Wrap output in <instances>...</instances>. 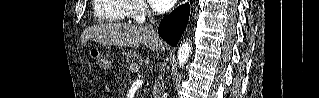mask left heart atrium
<instances>
[{"label": "left heart atrium", "instance_id": "39dd6f15", "mask_svg": "<svg viewBox=\"0 0 319 98\" xmlns=\"http://www.w3.org/2000/svg\"><path fill=\"white\" fill-rule=\"evenodd\" d=\"M151 7L159 13L168 11L174 4V0H150Z\"/></svg>", "mask_w": 319, "mask_h": 98}]
</instances>
